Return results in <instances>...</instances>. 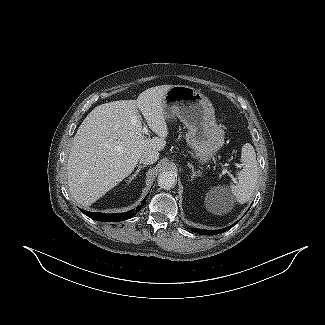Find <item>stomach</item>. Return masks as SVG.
Returning <instances> with one entry per match:
<instances>
[{
	"label": "stomach",
	"instance_id": "obj_1",
	"mask_svg": "<svg viewBox=\"0 0 325 325\" xmlns=\"http://www.w3.org/2000/svg\"><path fill=\"white\" fill-rule=\"evenodd\" d=\"M165 118L175 117L188 128L186 141L195 157L210 160L224 145V130L217 124L211 101L200 91L186 85H174L164 95Z\"/></svg>",
	"mask_w": 325,
	"mask_h": 325
}]
</instances>
